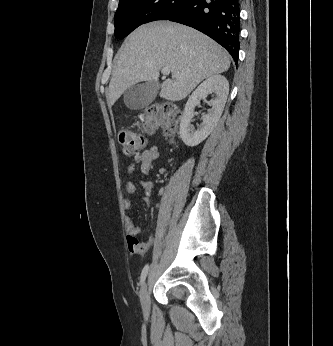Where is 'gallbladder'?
<instances>
[{"mask_svg":"<svg viewBox=\"0 0 333 346\" xmlns=\"http://www.w3.org/2000/svg\"><path fill=\"white\" fill-rule=\"evenodd\" d=\"M159 88V83L154 81L133 85L125 90L124 103L131 110H141L154 101Z\"/></svg>","mask_w":333,"mask_h":346,"instance_id":"1","label":"gallbladder"}]
</instances>
